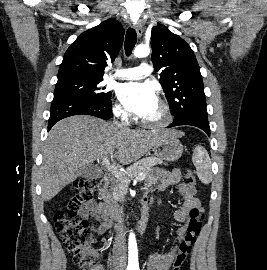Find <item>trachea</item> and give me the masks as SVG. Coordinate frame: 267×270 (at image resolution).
<instances>
[{
    "mask_svg": "<svg viewBox=\"0 0 267 270\" xmlns=\"http://www.w3.org/2000/svg\"><path fill=\"white\" fill-rule=\"evenodd\" d=\"M136 41H137L136 31L133 28H129L125 36V52L127 56L131 54L136 44Z\"/></svg>",
    "mask_w": 267,
    "mask_h": 270,
    "instance_id": "obj_1",
    "label": "trachea"
}]
</instances>
